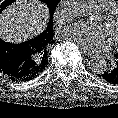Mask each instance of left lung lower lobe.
Wrapping results in <instances>:
<instances>
[{
	"label": "left lung lower lobe",
	"mask_w": 118,
	"mask_h": 118,
	"mask_svg": "<svg viewBox=\"0 0 118 118\" xmlns=\"http://www.w3.org/2000/svg\"><path fill=\"white\" fill-rule=\"evenodd\" d=\"M98 76L108 83L118 84V53L114 54L108 68L103 73L98 74Z\"/></svg>",
	"instance_id": "left-lung-lower-lobe-1"
}]
</instances>
